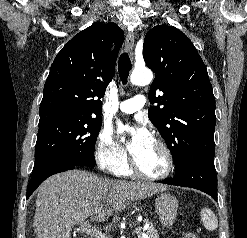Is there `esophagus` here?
Returning <instances> with one entry per match:
<instances>
[{
	"label": "esophagus",
	"mask_w": 247,
	"mask_h": 238,
	"mask_svg": "<svg viewBox=\"0 0 247 238\" xmlns=\"http://www.w3.org/2000/svg\"><path fill=\"white\" fill-rule=\"evenodd\" d=\"M126 48L131 55H133L134 49V35L132 33H128L126 36Z\"/></svg>",
	"instance_id": "esophagus-1"
}]
</instances>
